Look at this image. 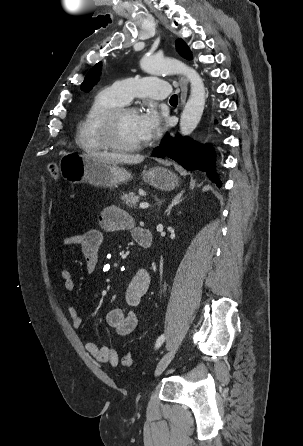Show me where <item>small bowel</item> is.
<instances>
[{
	"label": "small bowel",
	"mask_w": 303,
	"mask_h": 446,
	"mask_svg": "<svg viewBox=\"0 0 303 446\" xmlns=\"http://www.w3.org/2000/svg\"><path fill=\"white\" fill-rule=\"evenodd\" d=\"M99 224L101 230L89 229L83 233L66 236L60 244L61 249L75 245L81 247L88 274L93 273L98 266L99 251L104 241V232L131 230L133 237H135L140 229L134 226L133 220L127 212L116 206H109L102 211L99 217ZM59 274L64 281L65 293L71 294L76 288V283L71 272L67 268H61ZM150 283L151 276L149 272L144 268L138 269L125 290L124 298L126 306L107 312L105 317L106 323L118 335L127 336L135 330L138 321L135 310L148 291ZM68 313L73 327L80 328L83 319L73 304L68 305ZM85 348L99 362L109 363L112 366L118 364V354L112 347L98 346L94 342H87Z\"/></svg>",
	"instance_id": "1"
}]
</instances>
